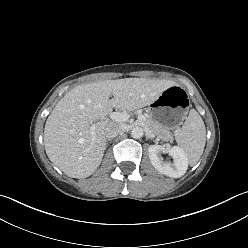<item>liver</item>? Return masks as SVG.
<instances>
[{"label": "liver", "mask_w": 248, "mask_h": 248, "mask_svg": "<svg viewBox=\"0 0 248 248\" xmlns=\"http://www.w3.org/2000/svg\"><path fill=\"white\" fill-rule=\"evenodd\" d=\"M174 85L170 80L125 78L76 86L57 103L46 121L44 145L48 158L69 177L92 175L106 148L105 128L115 122H99L94 141L91 123L113 108L133 111L150 105Z\"/></svg>", "instance_id": "obj_1"}]
</instances>
